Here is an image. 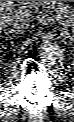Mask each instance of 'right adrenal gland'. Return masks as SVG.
I'll use <instances>...</instances> for the list:
<instances>
[{"mask_svg": "<svg viewBox=\"0 0 74 122\" xmlns=\"http://www.w3.org/2000/svg\"><path fill=\"white\" fill-rule=\"evenodd\" d=\"M6 31V30H5ZM6 34H21L22 32L21 31H17L15 29H9L7 32H5Z\"/></svg>", "mask_w": 74, "mask_h": 122, "instance_id": "right-adrenal-gland-1", "label": "right adrenal gland"}]
</instances>
